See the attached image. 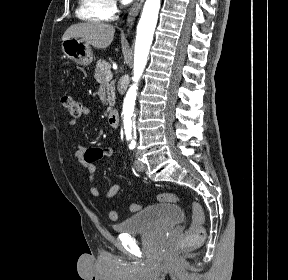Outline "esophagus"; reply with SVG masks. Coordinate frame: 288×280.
<instances>
[{
    "label": "esophagus",
    "instance_id": "34e87169",
    "mask_svg": "<svg viewBox=\"0 0 288 280\" xmlns=\"http://www.w3.org/2000/svg\"><path fill=\"white\" fill-rule=\"evenodd\" d=\"M143 2H144V0H136L134 5L130 9L128 17H127V25L128 26L132 25L133 21L135 20L136 16L138 15V13L142 7Z\"/></svg>",
    "mask_w": 288,
    "mask_h": 280
}]
</instances>
